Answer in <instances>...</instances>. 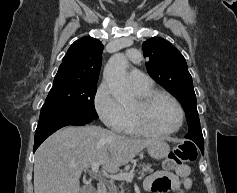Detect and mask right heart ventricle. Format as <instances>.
Returning a JSON list of instances; mask_svg holds the SVG:
<instances>
[{"instance_id":"e07e8e85","label":"right heart ventricle","mask_w":237,"mask_h":193,"mask_svg":"<svg viewBox=\"0 0 237 193\" xmlns=\"http://www.w3.org/2000/svg\"><path fill=\"white\" fill-rule=\"evenodd\" d=\"M133 89H134L135 93L138 95V97L144 96V95L153 91L152 86L145 87V88L133 87ZM123 108H124L125 120H124V125H123L121 132H123L125 134H131V135L143 134L139 130H137L133 124L132 115H131V108H129V107H123Z\"/></svg>"}]
</instances>
